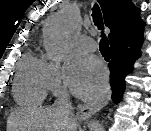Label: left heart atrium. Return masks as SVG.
<instances>
[{
    "mask_svg": "<svg viewBox=\"0 0 151 131\" xmlns=\"http://www.w3.org/2000/svg\"><path fill=\"white\" fill-rule=\"evenodd\" d=\"M68 77L72 93L84 100L99 96L107 82L103 65L95 58L82 53L72 57Z\"/></svg>",
    "mask_w": 151,
    "mask_h": 131,
    "instance_id": "39dd6f15",
    "label": "left heart atrium"
}]
</instances>
